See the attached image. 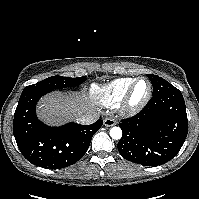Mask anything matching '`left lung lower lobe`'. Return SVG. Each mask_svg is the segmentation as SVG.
Wrapping results in <instances>:
<instances>
[{
    "instance_id": "left-lung-lower-lobe-1",
    "label": "left lung lower lobe",
    "mask_w": 199,
    "mask_h": 199,
    "mask_svg": "<svg viewBox=\"0 0 199 199\" xmlns=\"http://www.w3.org/2000/svg\"><path fill=\"white\" fill-rule=\"evenodd\" d=\"M119 126L123 135L117 148L124 159L152 167L166 163L177 155L188 133L182 93L177 89L153 96Z\"/></svg>"
}]
</instances>
